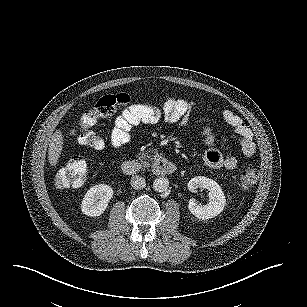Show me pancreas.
Returning <instances> with one entry per match:
<instances>
[{"instance_id":"cf45deb5","label":"pancreas","mask_w":307,"mask_h":307,"mask_svg":"<svg viewBox=\"0 0 307 307\" xmlns=\"http://www.w3.org/2000/svg\"><path fill=\"white\" fill-rule=\"evenodd\" d=\"M147 155L145 153H140L138 155V160L143 164L144 167H147L149 162L146 161Z\"/></svg>"}]
</instances>
